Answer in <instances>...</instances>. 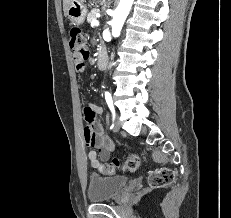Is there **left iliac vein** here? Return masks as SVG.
I'll return each mask as SVG.
<instances>
[{
	"mask_svg": "<svg viewBox=\"0 0 231 218\" xmlns=\"http://www.w3.org/2000/svg\"><path fill=\"white\" fill-rule=\"evenodd\" d=\"M120 127H121L120 121H119V120H116V121L114 122V124H113V129H114V131H115V132L119 131V130H120Z\"/></svg>",
	"mask_w": 231,
	"mask_h": 218,
	"instance_id": "1",
	"label": "left iliac vein"
}]
</instances>
